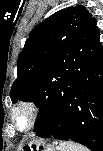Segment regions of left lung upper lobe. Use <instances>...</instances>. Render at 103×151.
<instances>
[{"instance_id": "1", "label": "left lung upper lobe", "mask_w": 103, "mask_h": 151, "mask_svg": "<svg viewBox=\"0 0 103 151\" xmlns=\"http://www.w3.org/2000/svg\"><path fill=\"white\" fill-rule=\"evenodd\" d=\"M96 18L82 5L62 9L46 18L30 33L18 57L17 79L11 98L31 101L37 83L54 77L56 62L90 27Z\"/></svg>"}]
</instances>
